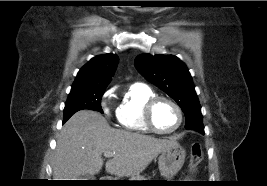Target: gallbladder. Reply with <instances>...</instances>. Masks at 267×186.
I'll use <instances>...</instances> for the list:
<instances>
[{
	"label": "gallbladder",
	"mask_w": 267,
	"mask_h": 186,
	"mask_svg": "<svg viewBox=\"0 0 267 186\" xmlns=\"http://www.w3.org/2000/svg\"><path fill=\"white\" fill-rule=\"evenodd\" d=\"M90 179H93V175L85 174V175H82L80 178V180H90Z\"/></svg>",
	"instance_id": "1"
}]
</instances>
